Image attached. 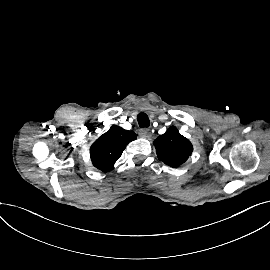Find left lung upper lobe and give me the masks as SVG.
Returning a JSON list of instances; mask_svg holds the SVG:
<instances>
[{"mask_svg":"<svg viewBox=\"0 0 270 270\" xmlns=\"http://www.w3.org/2000/svg\"><path fill=\"white\" fill-rule=\"evenodd\" d=\"M154 145L159 160L171 167L182 165L193 151L191 142L182 136L174 126L157 137Z\"/></svg>","mask_w":270,"mask_h":270,"instance_id":"1","label":"left lung upper lobe"}]
</instances>
